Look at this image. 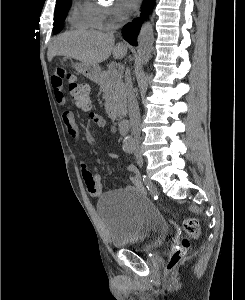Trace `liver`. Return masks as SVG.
Here are the masks:
<instances>
[{
    "instance_id": "6515ba94",
    "label": "liver",
    "mask_w": 245,
    "mask_h": 300,
    "mask_svg": "<svg viewBox=\"0 0 245 300\" xmlns=\"http://www.w3.org/2000/svg\"><path fill=\"white\" fill-rule=\"evenodd\" d=\"M115 43L112 33L97 31H70L60 35L48 49V61L55 56H65L78 61L98 65L107 60L111 53L115 59L127 54L123 43Z\"/></svg>"
}]
</instances>
